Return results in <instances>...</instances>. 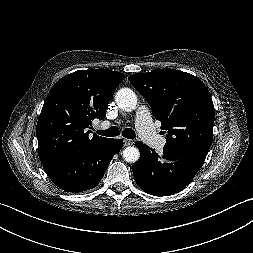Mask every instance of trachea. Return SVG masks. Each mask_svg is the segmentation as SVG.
I'll list each match as a JSON object with an SVG mask.
<instances>
[{
	"label": "trachea",
	"instance_id": "1",
	"mask_svg": "<svg viewBox=\"0 0 253 253\" xmlns=\"http://www.w3.org/2000/svg\"><path fill=\"white\" fill-rule=\"evenodd\" d=\"M96 133L101 136L113 137L119 135L120 131L117 127L113 126L106 130H98L96 131ZM122 136L128 139H134L136 137L134 130H132L131 128L124 129L122 132Z\"/></svg>",
	"mask_w": 253,
	"mask_h": 253
}]
</instances>
